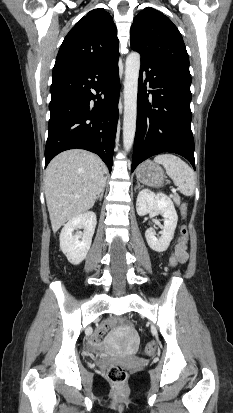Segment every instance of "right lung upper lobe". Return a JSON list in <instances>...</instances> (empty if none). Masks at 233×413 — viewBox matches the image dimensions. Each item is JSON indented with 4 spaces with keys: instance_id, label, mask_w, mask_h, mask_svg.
I'll use <instances>...</instances> for the list:
<instances>
[{
    "instance_id": "right-lung-upper-lobe-1",
    "label": "right lung upper lobe",
    "mask_w": 233,
    "mask_h": 413,
    "mask_svg": "<svg viewBox=\"0 0 233 413\" xmlns=\"http://www.w3.org/2000/svg\"><path fill=\"white\" fill-rule=\"evenodd\" d=\"M113 18L103 8L90 11L66 35L53 75L77 69L119 54Z\"/></svg>"
}]
</instances>
